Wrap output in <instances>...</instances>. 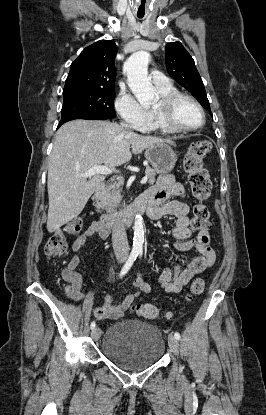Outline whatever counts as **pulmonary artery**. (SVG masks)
Returning <instances> with one entry per match:
<instances>
[{"mask_svg": "<svg viewBox=\"0 0 266 415\" xmlns=\"http://www.w3.org/2000/svg\"><path fill=\"white\" fill-rule=\"evenodd\" d=\"M151 78L152 82L157 86L170 83L169 79L163 73L156 70L151 72Z\"/></svg>", "mask_w": 266, "mask_h": 415, "instance_id": "e3ab8cb5", "label": "pulmonary artery"}]
</instances>
